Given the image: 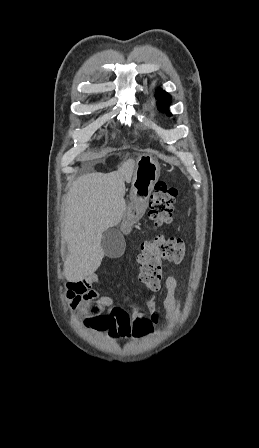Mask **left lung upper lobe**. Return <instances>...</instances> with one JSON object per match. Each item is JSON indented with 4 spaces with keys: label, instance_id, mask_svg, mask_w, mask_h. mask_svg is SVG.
<instances>
[{
    "label": "left lung upper lobe",
    "instance_id": "obj_1",
    "mask_svg": "<svg viewBox=\"0 0 259 448\" xmlns=\"http://www.w3.org/2000/svg\"><path fill=\"white\" fill-rule=\"evenodd\" d=\"M156 98L158 99L157 101L158 109L163 112H167L169 115H171V113L168 110V105L171 101V96L167 92L162 91V89H158L156 92Z\"/></svg>",
    "mask_w": 259,
    "mask_h": 448
}]
</instances>
